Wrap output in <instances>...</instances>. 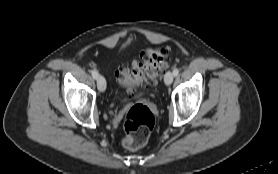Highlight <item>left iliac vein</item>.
<instances>
[{"instance_id":"1","label":"left iliac vein","mask_w":278,"mask_h":174,"mask_svg":"<svg viewBox=\"0 0 278 174\" xmlns=\"http://www.w3.org/2000/svg\"><path fill=\"white\" fill-rule=\"evenodd\" d=\"M174 79V74L171 71H167L164 76V82L166 85H171Z\"/></svg>"}]
</instances>
